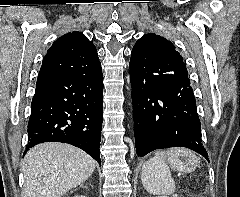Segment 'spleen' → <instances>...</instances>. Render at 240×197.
Instances as JSON below:
<instances>
[{"instance_id": "3e777b00", "label": "spleen", "mask_w": 240, "mask_h": 197, "mask_svg": "<svg viewBox=\"0 0 240 197\" xmlns=\"http://www.w3.org/2000/svg\"><path fill=\"white\" fill-rule=\"evenodd\" d=\"M179 157L198 158L189 150L171 148L164 152H156L142 168V181L146 190L151 194L170 195L175 191V182L168 164L177 161Z\"/></svg>"}]
</instances>
